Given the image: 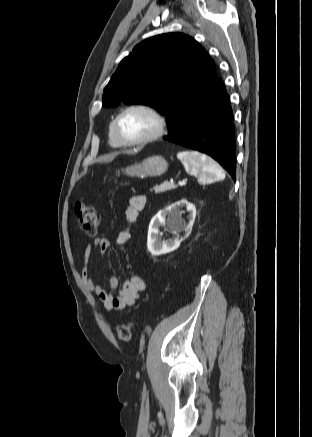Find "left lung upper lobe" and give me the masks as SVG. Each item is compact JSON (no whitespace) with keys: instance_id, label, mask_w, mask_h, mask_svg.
Returning <instances> with one entry per match:
<instances>
[{"instance_id":"obj_1","label":"left lung upper lobe","mask_w":312,"mask_h":437,"mask_svg":"<svg viewBox=\"0 0 312 437\" xmlns=\"http://www.w3.org/2000/svg\"><path fill=\"white\" fill-rule=\"evenodd\" d=\"M217 80L205 49L182 33L142 41L125 57L104 88L103 106L143 104L166 117L168 131Z\"/></svg>"}]
</instances>
